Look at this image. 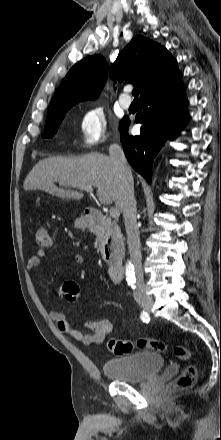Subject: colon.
<instances>
[{
	"instance_id": "5ec220e1",
	"label": "colon",
	"mask_w": 221,
	"mask_h": 440,
	"mask_svg": "<svg viewBox=\"0 0 221 440\" xmlns=\"http://www.w3.org/2000/svg\"><path fill=\"white\" fill-rule=\"evenodd\" d=\"M36 243L41 248H50L52 246V240L48 233V230L40 226L36 229L35 233ZM61 297L68 301L74 302L79 297V288L73 281H65L61 284L59 289ZM108 349L116 355L129 354L135 349H149L157 352H164L167 349V345L159 340L149 338H138L134 340H120L111 338L107 342ZM173 353L179 359L190 362L192 359L191 351L181 345H177L173 348ZM197 379V369L194 365H187L182 373L168 385L169 391L184 390L194 386Z\"/></svg>"
}]
</instances>
